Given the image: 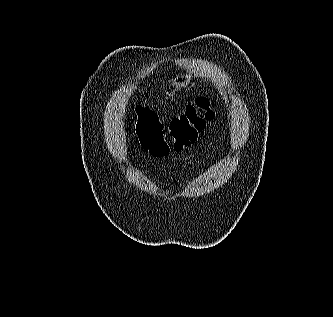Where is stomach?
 Segmentation results:
<instances>
[{
  "instance_id": "0dacf381",
  "label": "stomach",
  "mask_w": 333,
  "mask_h": 317,
  "mask_svg": "<svg viewBox=\"0 0 333 317\" xmlns=\"http://www.w3.org/2000/svg\"><path fill=\"white\" fill-rule=\"evenodd\" d=\"M188 83H189L188 76H184V75H181L172 81V85L176 89H181V88L185 87L186 85H188Z\"/></svg>"
}]
</instances>
